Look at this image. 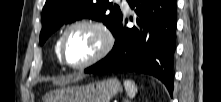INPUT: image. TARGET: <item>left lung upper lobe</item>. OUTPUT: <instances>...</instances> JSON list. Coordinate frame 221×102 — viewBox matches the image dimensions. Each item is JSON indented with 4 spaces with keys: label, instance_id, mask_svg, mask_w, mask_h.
<instances>
[{
    "label": "left lung upper lobe",
    "instance_id": "left-lung-upper-lobe-1",
    "mask_svg": "<svg viewBox=\"0 0 221 102\" xmlns=\"http://www.w3.org/2000/svg\"><path fill=\"white\" fill-rule=\"evenodd\" d=\"M86 17L102 21L114 35L122 13L119 6H113L109 0H47L42 11L40 44L64 23Z\"/></svg>",
    "mask_w": 221,
    "mask_h": 102
}]
</instances>
